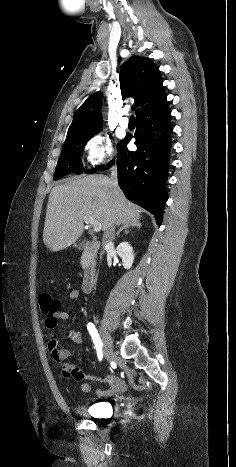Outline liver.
Masks as SVG:
<instances>
[{"mask_svg": "<svg viewBox=\"0 0 236 467\" xmlns=\"http://www.w3.org/2000/svg\"><path fill=\"white\" fill-rule=\"evenodd\" d=\"M140 208L103 175L75 177L55 186L49 196L43 230L46 247L57 252L71 246L83 233L88 218L110 225L139 221Z\"/></svg>", "mask_w": 236, "mask_h": 467, "instance_id": "1", "label": "liver"}]
</instances>
